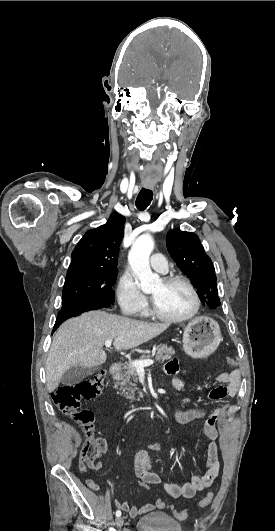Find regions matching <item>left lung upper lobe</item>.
Returning a JSON list of instances; mask_svg holds the SVG:
<instances>
[{"label": "left lung upper lobe", "mask_w": 275, "mask_h": 531, "mask_svg": "<svg viewBox=\"0 0 275 531\" xmlns=\"http://www.w3.org/2000/svg\"><path fill=\"white\" fill-rule=\"evenodd\" d=\"M166 244L172 259L193 282L202 304L206 303L211 309L219 306L215 269L198 236L191 232L170 230Z\"/></svg>", "instance_id": "5c2ea615"}]
</instances>
